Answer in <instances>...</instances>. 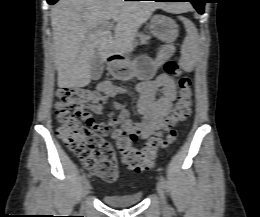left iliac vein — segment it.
<instances>
[{
  "label": "left iliac vein",
  "instance_id": "4c4485c4",
  "mask_svg": "<svg viewBox=\"0 0 260 217\" xmlns=\"http://www.w3.org/2000/svg\"><path fill=\"white\" fill-rule=\"evenodd\" d=\"M156 188H157V192H158V195H159V200H160L161 206H162L163 208H166V200H165V194H164V186L162 185L161 182H158Z\"/></svg>",
  "mask_w": 260,
  "mask_h": 217
}]
</instances>
